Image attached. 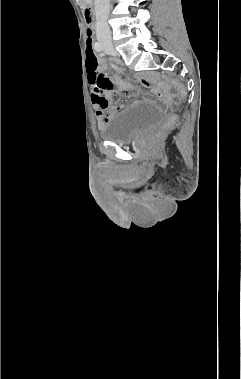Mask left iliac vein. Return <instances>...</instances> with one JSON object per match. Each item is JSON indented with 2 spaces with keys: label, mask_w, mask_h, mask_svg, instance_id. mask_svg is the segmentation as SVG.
Returning a JSON list of instances; mask_svg holds the SVG:
<instances>
[{
  "label": "left iliac vein",
  "mask_w": 241,
  "mask_h": 379,
  "mask_svg": "<svg viewBox=\"0 0 241 379\" xmlns=\"http://www.w3.org/2000/svg\"><path fill=\"white\" fill-rule=\"evenodd\" d=\"M105 53L109 54V55H115L114 52H111V51H108L107 49H104Z\"/></svg>",
  "instance_id": "obj_1"
}]
</instances>
